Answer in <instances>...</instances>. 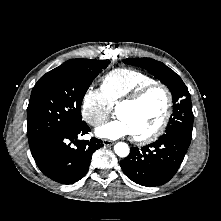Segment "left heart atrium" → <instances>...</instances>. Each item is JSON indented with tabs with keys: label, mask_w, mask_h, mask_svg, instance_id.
Wrapping results in <instances>:
<instances>
[{
	"label": "left heart atrium",
	"mask_w": 221,
	"mask_h": 221,
	"mask_svg": "<svg viewBox=\"0 0 221 221\" xmlns=\"http://www.w3.org/2000/svg\"><path fill=\"white\" fill-rule=\"evenodd\" d=\"M96 135L100 138L115 140L127 135H132L129 125L120 117L109 121L96 129Z\"/></svg>",
	"instance_id": "left-heart-atrium-1"
}]
</instances>
